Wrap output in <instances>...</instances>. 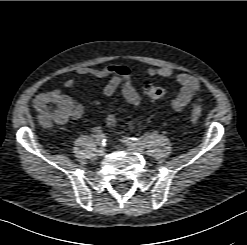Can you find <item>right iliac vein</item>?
I'll list each match as a JSON object with an SVG mask.
<instances>
[{
  "mask_svg": "<svg viewBox=\"0 0 247 245\" xmlns=\"http://www.w3.org/2000/svg\"><path fill=\"white\" fill-rule=\"evenodd\" d=\"M105 149L104 148H99L98 150H97V156H100V157H102V156H104L105 155Z\"/></svg>",
  "mask_w": 247,
  "mask_h": 245,
  "instance_id": "63e3f726",
  "label": "right iliac vein"
}]
</instances>
